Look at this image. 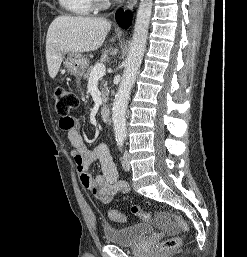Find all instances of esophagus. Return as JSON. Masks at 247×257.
<instances>
[{
  "label": "esophagus",
  "mask_w": 247,
  "mask_h": 257,
  "mask_svg": "<svg viewBox=\"0 0 247 257\" xmlns=\"http://www.w3.org/2000/svg\"><path fill=\"white\" fill-rule=\"evenodd\" d=\"M137 1L138 0H128L127 9H132L136 5Z\"/></svg>",
  "instance_id": "1"
}]
</instances>
